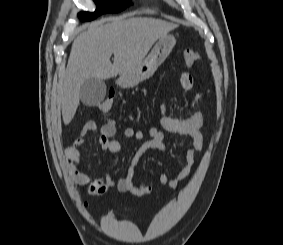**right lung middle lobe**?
I'll list each match as a JSON object with an SVG mask.
<instances>
[{
    "instance_id": "1",
    "label": "right lung middle lobe",
    "mask_w": 283,
    "mask_h": 245,
    "mask_svg": "<svg viewBox=\"0 0 283 245\" xmlns=\"http://www.w3.org/2000/svg\"><path fill=\"white\" fill-rule=\"evenodd\" d=\"M98 7L94 13L80 12L79 18L82 21L93 20L99 15L108 12H120L130 5L131 0H94Z\"/></svg>"
}]
</instances>
